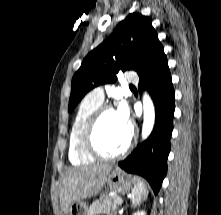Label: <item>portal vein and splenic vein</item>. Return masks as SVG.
Segmentation results:
<instances>
[{
  "instance_id": "18ae733b",
  "label": "portal vein and splenic vein",
  "mask_w": 221,
  "mask_h": 215,
  "mask_svg": "<svg viewBox=\"0 0 221 215\" xmlns=\"http://www.w3.org/2000/svg\"><path fill=\"white\" fill-rule=\"evenodd\" d=\"M117 202H118L119 204H122L123 200H122L121 198H119V199H117Z\"/></svg>"
}]
</instances>
